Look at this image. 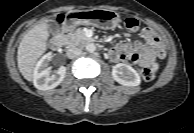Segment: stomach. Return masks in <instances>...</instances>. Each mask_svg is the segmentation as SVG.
<instances>
[{
  "label": "stomach",
  "mask_w": 194,
  "mask_h": 133,
  "mask_svg": "<svg viewBox=\"0 0 194 133\" xmlns=\"http://www.w3.org/2000/svg\"><path fill=\"white\" fill-rule=\"evenodd\" d=\"M120 21L119 15L107 9L72 11L67 26L73 29L78 25H93L102 29H114Z\"/></svg>",
  "instance_id": "stomach-1"
}]
</instances>
